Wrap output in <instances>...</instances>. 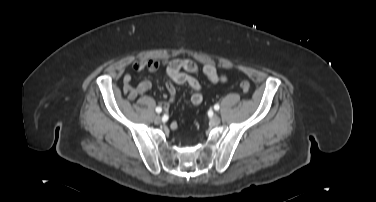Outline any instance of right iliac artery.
<instances>
[{"instance_id":"right-iliac-artery-1","label":"right iliac artery","mask_w":376,"mask_h":202,"mask_svg":"<svg viewBox=\"0 0 376 202\" xmlns=\"http://www.w3.org/2000/svg\"><path fill=\"white\" fill-rule=\"evenodd\" d=\"M156 112L157 113H161L162 112V108L161 107H156Z\"/></svg>"}]
</instances>
